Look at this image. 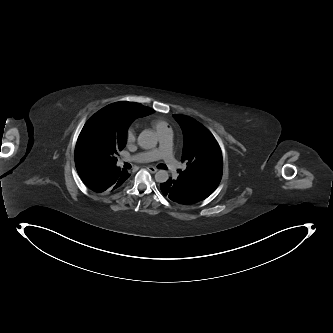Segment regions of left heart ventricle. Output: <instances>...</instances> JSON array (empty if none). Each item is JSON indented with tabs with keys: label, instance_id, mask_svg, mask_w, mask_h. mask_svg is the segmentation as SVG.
Wrapping results in <instances>:
<instances>
[{
	"label": "left heart ventricle",
	"instance_id": "left-heart-ventricle-1",
	"mask_svg": "<svg viewBox=\"0 0 333 333\" xmlns=\"http://www.w3.org/2000/svg\"><path fill=\"white\" fill-rule=\"evenodd\" d=\"M160 143V142H159ZM160 148V144L158 146H153L151 148L152 151H157Z\"/></svg>",
	"mask_w": 333,
	"mask_h": 333
}]
</instances>
